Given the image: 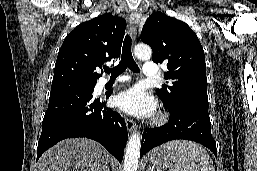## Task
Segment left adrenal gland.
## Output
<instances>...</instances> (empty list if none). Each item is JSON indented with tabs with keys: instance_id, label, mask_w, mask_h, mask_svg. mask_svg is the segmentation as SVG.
<instances>
[{
	"instance_id": "a2214340",
	"label": "left adrenal gland",
	"mask_w": 257,
	"mask_h": 171,
	"mask_svg": "<svg viewBox=\"0 0 257 171\" xmlns=\"http://www.w3.org/2000/svg\"><path fill=\"white\" fill-rule=\"evenodd\" d=\"M147 171H154V170H153V168H151V166H149Z\"/></svg>"
}]
</instances>
